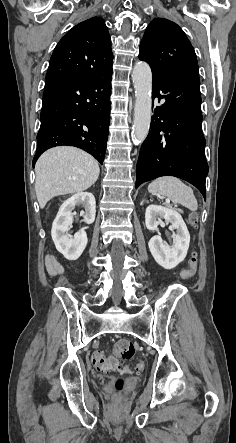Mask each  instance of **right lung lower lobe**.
I'll return each instance as SVG.
<instances>
[{
  "instance_id": "98d812e1",
  "label": "right lung lower lobe",
  "mask_w": 236,
  "mask_h": 443,
  "mask_svg": "<svg viewBox=\"0 0 236 443\" xmlns=\"http://www.w3.org/2000/svg\"><path fill=\"white\" fill-rule=\"evenodd\" d=\"M111 80L112 69L97 76L46 80L33 167L44 151L61 145L81 148L103 164Z\"/></svg>"
}]
</instances>
